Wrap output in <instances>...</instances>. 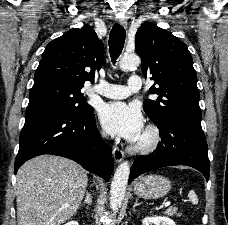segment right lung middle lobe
<instances>
[{
  "label": "right lung middle lobe",
  "instance_id": "dd1d6c3e",
  "mask_svg": "<svg viewBox=\"0 0 228 225\" xmlns=\"http://www.w3.org/2000/svg\"><path fill=\"white\" fill-rule=\"evenodd\" d=\"M81 87L61 82H45L33 85L26 111L43 107H62L76 113H87L92 107L84 103Z\"/></svg>",
  "mask_w": 228,
  "mask_h": 225
}]
</instances>
